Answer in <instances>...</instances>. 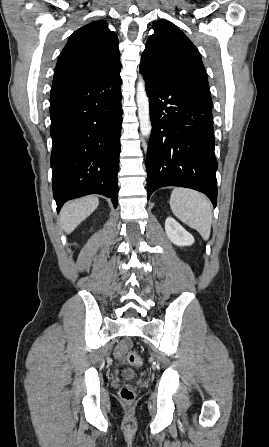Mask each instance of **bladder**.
Wrapping results in <instances>:
<instances>
[{
    "label": "bladder",
    "mask_w": 269,
    "mask_h": 447,
    "mask_svg": "<svg viewBox=\"0 0 269 447\" xmlns=\"http://www.w3.org/2000/svg\"><path fill=\"white\" fill-rule=\"evenodd\" d=\"M123 376H124V377H132V374H131L130 371H126V372L123 374Z\"/></svg>",
    "instance_id": "obj_1"
}]
</instances>
